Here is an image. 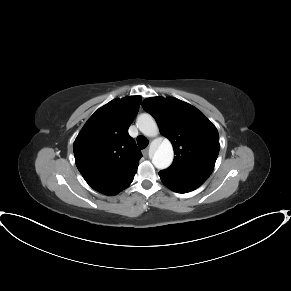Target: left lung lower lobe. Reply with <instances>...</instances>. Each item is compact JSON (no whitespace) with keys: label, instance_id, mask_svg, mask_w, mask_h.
Returning a JSON list of instances; mask_svg holds the SVG:
<instances>
[{"label":"left lung lower lobe","instance_id":"left-lung-lower-lobe-1","mask_svg":"<svg viewBox=\"0 0 291 291\" xmlns=\"http://www.w3.org/2000/svg\"><path fill=\"white\" fill-rule=\"evenodd\" d=\"M159 176L161 181L171 190L177 193H187L196 188H198L202 183L194 182V181H184L179 180L170 176H167L163 173L159 172Z\"/></svg>","mask_w":291,"mask_h":291}]
</instances>
